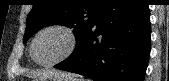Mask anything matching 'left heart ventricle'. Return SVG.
I'll return each instance as SVG.
<instances>
[{
	"instance_id": "b2bd125f",
	"label": "left heart ventricle",
	"mask_w": 169,
	"mask_h": 81,
	"mask_svg": "<svg viewBox=\"0 0 169 81\" xmlns=\"http://www.w3.org/2000/svg\"><path fill=\"white\" fill-rule=\"evenodd\" d=\"M69 40L67 36L57 30L41 34L34 47L36 59L41 63H50L60 58L67 50Z\"/></svg>"
}]
</instances>
